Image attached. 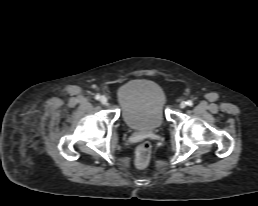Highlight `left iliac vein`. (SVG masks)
Returning a JSON list of instances; mask_svg holds the SVG:
<instances>
[{
  "label": "left iliac vein",
  "instance_id": "left-iliac-vein-1",
  "mask_svg": "<svg viewBox=\"0 0 258 206\" xmlns=\"http://www.w3.org/2000/svg\"><path fill=\"white\" fill-rule=\"evenodd\" d=\"M186 105H187V103H186L185 101H182V102L180 103V107H181V108H185Z\"/></svg>",
  "mask_w": 258,
  "mask_h": 206
}]
</instances>
